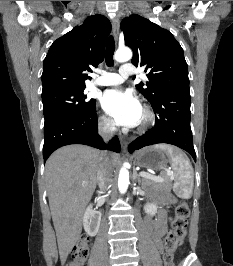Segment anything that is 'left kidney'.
Here are the masks:
<instances>
[{"label": "left kidney", "instance_id": "left-kidney-1", "mask_svg": "<svg viewBox=\"0 0 233 266\" xmlns=\"http://www.w3.org/2000/svg\"><path fill=\"white\" fill-rule=\"evenodd\" d=\"M157 205L155 203H147L144 206L145 213L150 216H154L157 213Z\"/></svg>", "mask_w": 233, "mask_h": 266}]
</instances>
